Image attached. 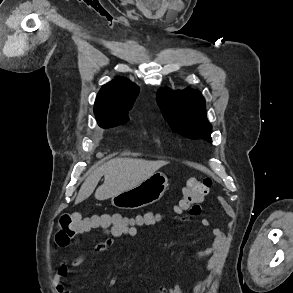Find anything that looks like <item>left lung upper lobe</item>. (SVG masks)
Wrapping results in <instances>:
<instances>
[{
	"label": "left lung upper lobe",
	"instance_id": "1",
	"mask_svg": "<svg viewBox=\"0 0 293 293\" xmlns=\"http://www.w3.org/2000/svg\"><path fill=\"white\" fill-rule=\"evenodd\" d=\"M157 102L175 132L191 139L201 138L212 142V126L208 122L205 101L200 92L164 88L158 91Z\"/></svg>",
	"mask_w": 293,
	"mask_h": 293
}]
</instances>
